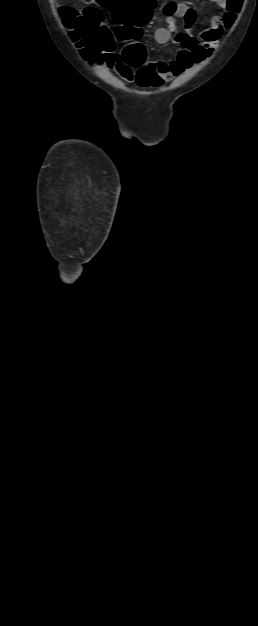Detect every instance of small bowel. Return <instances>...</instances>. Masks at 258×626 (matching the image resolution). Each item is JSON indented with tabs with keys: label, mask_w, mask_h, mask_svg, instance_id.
I'll return each instance as SVG.
<instances>
[{
	"label": "small bowel",
	"mask_w": 258,
	"mask_h": 626,
	"mask_svg": "<svg viewBox=\"0 0 258 626\" xmlns=\"http://www.w3.org/2000/svg\"><path fill=\"white\" fill-rule=\"evenodd\" d=\"M222 9L227 0H211ZM165 26L155 31V40L159 44L171 41L176 32V19H182L185 32L176 34L174 41L180 46L175 59L170 61H147L134 70L125 61L123 55L114 54L108 60V66L127 83H137L141 87H161L172 79L182 75L194 65L208 59L215 51L224 31V16L216 14L209 20V27L198 35L191 33L197 14L189 5L169 1L163 6Z\"/></svg>",
	"instance_id": "obj_1"
}]
</instances>
